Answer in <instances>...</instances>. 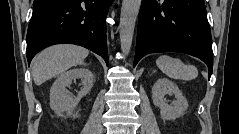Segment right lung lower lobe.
<instances>
[{"label":"right lung lower lobe","instance_id":"right-lung-lower-lobe-1","mask_svg":"<svg viewBox=\"0 0 239 134\" xmlns=\"http://www.w3.org/2000/svg\"><path fill=\"white\" fill-rule=\"evenodd\" d=\"M113 0H34L27 32V59L59 43L83 46L108 64L105 19Z\"/></svg>","mask_w":239,"mask_h":134}]
</instances>
